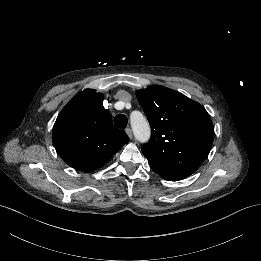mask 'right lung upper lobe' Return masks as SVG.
<instances>
[{"label":"right lung upper lobe","instance_id":"1","mask_svg":"<svg viewBox=\"0 0 261 261\" xmlns=\"http://www.w3.org/2000/svg\"><path fill=\"white\" fill-rule=\"evenodd\" d=\"M53 144L71 167L91 172L106 164L129 138L116 128L103 106V94L86 89L62 109L53 127Z\"/></svg>","mask_w":261,"mask_h":261}]
</instances>
